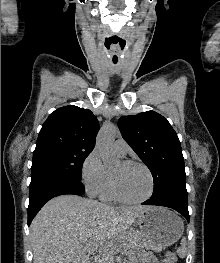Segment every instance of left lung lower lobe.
<instances>
[{
    "mask_svg": "<svg viewBox=\"0 0 220 263\" xmlns=\"http://www.w3.org/2000/svg\"><path fill=\"white\" fill-rule=\"evenodd\" d=\"M143 205H158L172 208L182 214L189 222L188 203L180 202L171 198H150L142 203Z\"/></svg>",
    "mask_w": 220,
    "mask_h": 263,
    "instance_id": "0a47b994",
    "label": "left lung lower lobe"
}]
</instances>
